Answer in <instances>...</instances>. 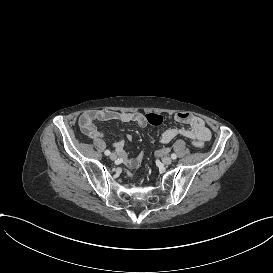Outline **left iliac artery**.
<instances>
[{"label": "left iliac artery", "instance_id": "left-iliac-artery-1", "mask_svg": "<svg viewBox=\"0 0 273 273\" xmlns=\"http://www.w3.org/2000/svg\"><path fill=\"white\" fill-rule=\"evenodd\" d=\"M171 158H172V159H176V158H177V155H176L175 153H172V154H171Z\"/></svg>", "mask_w": 273, "mask_h": 273}]
</instances>
